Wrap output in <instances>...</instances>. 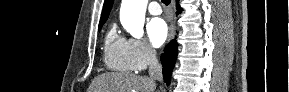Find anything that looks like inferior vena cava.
Segmentation results:
<instances>
[{
	"label": "inferior vena cava",
	"instance_id": "602c4592",
	"mask_svg": "<svg viewBox=\"0 0 289 92\" xmlns=\"http://www.w3.org/2000/svg\"><path fill=\"white\" fill-rule=\"evenodd\" d=\"M148 57H149V76L153 80L162 79V67L159 64L158 58L156 56V51L153 47H148Z\"/></svg>",
	"mask_w": 289,
	"mask_h": 92
}]
</instances>
